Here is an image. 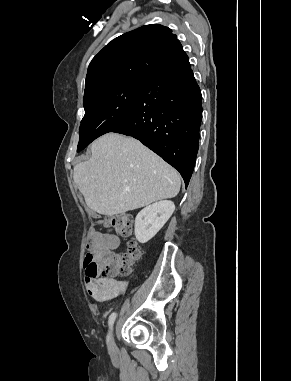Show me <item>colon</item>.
Returning a JSON list of instances; mask_svg holds the SVG:
<instances>
[{"label":"colon","instance_id":"obj_1","mask_svg":"<svg viewBox=\"0 0 291 381\" xmlns=\"http://www.w3.org/2000/svg\"><path fill=\"white\" fill-rule=\"evenodd\" d=\"M104 227L124 237H130L133 231V219L127 214L106 216L102 221ZM141 251L134 242L130 243L126 253H113L100 250L93 241L86 246L84 265L89 277H109L128 275L134 264L140 259Z\"/></svg>","mask_w":291,"mask_h":381}]
</instances>
